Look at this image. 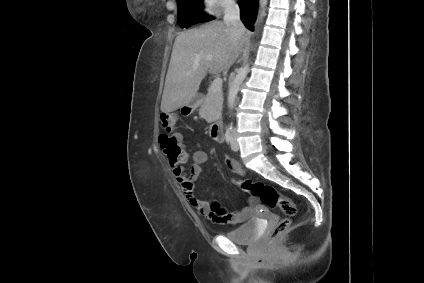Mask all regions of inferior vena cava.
Here are the masks:
<instances>
[{
	"mask_svg": "<svg viewBox=\"0 0 424 283\" xmlns=\"http://www.w3.org/2000/svg\"><path fill=\"white\" fill-rule=\"evenodd\" d=\"M224 23L229 28L234 42L241 38L244 25L240 19V9L235 0H229L225 5Z\"/></svg>",
	"mask_w": 424,
	"mask_h": 283,
	"instance_id": "inferior-vena-cava-1",
	"label": "inferior vena cava"
}]
</instances>
